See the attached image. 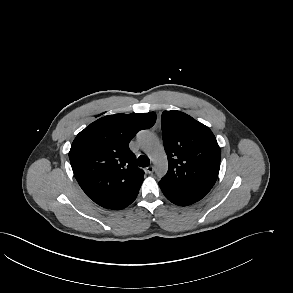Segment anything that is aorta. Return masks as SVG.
<instances>
[{
  "mask_svg": "<svg viewBox=\"0 0 293 293\" xmlns=\"http://www.w3.org/2000/svg\"><path fill=\"white\" fill-rule=\"evenodd\" d=\"M137 138L143 151L152 160L156 174L165 175L168 169L167 156L157 137L149 131H141Z\"/></svg>",
  "mask_w": 293,
  "mask_h": 293,
  "instance_id": "obj_1",
  "label": "aorta"
}]
</instances>
